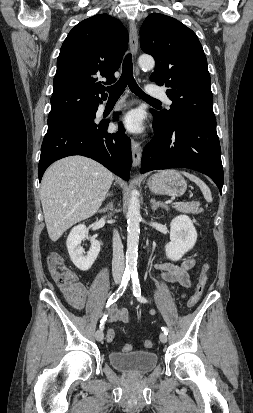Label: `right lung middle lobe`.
<instances>
[{
  "label": "right lung middle lobe",
  "mask_w": 253,
  "mask_h": 413,
  "mask_svg": "<svg viewBox=\"0 0 253 413\" xmlns=\"http://www.w3.org/2000/svg\"><path fill=\"white\" fill-rule=\"evenodd\" d=\"M95 114V108H89L48 117V130L73 124L92 123L94 121Z\"/></svg>",
  "instance_id": "1"
}]
</instances>
